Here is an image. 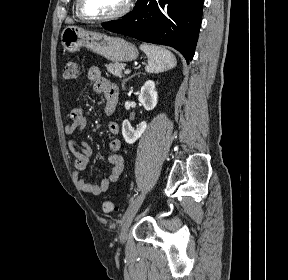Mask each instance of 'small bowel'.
<instances>
[{
  "label": "small bowel",
  "mask_w": 288,
  "mask_h": 280,
  "mask_svg": "<svg viewBox=\"0 0 288 280\" xmlns=\"http://www.w3.org/2000/svg\"><path fill=\"white\" fill-rule=\"evenodd\" d=\"M88 81L92 84L93 90L98 94H103L106 100L105 113L112 114L114 111L110 110L109 104L112 100L118 101V88L115 83L103 77L98 67H91L87 73ZM70 122L65 125V133L67 135H77L87 125L88 117L81 108H74L69 114ZM108 131L111 135H118L119 125L116 122L108 123ZM71 152L75 157V173L74 179L83 193L90 195H101L106 192L112 184L117 183L124 172L125 164L121 154L122 143L118 138H113L109 142V149L111 154L108 157V162L112 166L110 174L104 178L99 184L93 185L87 183L81 176L89 163V156L91 154L90 146L77 139H72L68 143Z\"/></svg>",
  "instance_id": "c3829d8e"
}]
</instances>
